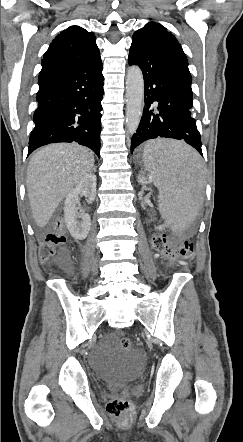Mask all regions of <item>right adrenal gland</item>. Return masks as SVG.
Masks as SVG:
<instances>
[{
  "label": "right adrenal gland",
  "mask_w": 243,
  "mask_h": 442,
  "mask_svg": "<svg viewBox=\"0 0 243 442\" xmlns=\"http://www.w3.org/2000/svg\"><path fill=\"white\" fill-rule=\"evenodd\" d=\"M93 171H96V168H95V167L93 168Z\"/></svg>",
  "instance_id": "1"
}]
</instances>
